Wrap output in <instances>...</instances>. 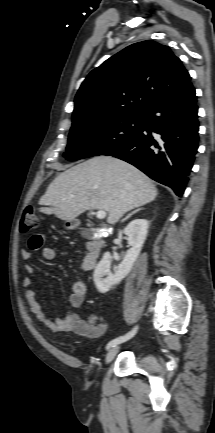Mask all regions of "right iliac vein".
Returning a JSON list of instances; mask_svg holds the SVG:
<instances>
[{
	"label": "right iliac vein",
	"instance_id": "obj_1",
	"mask_svg": "<svg viewBox=\"0 0 215 433\" xmlns=\"http://www.w3.org/2000/svg\"><path fill=\"white\" fill-rule=\"evenodd\" d=\"M119 349H120V346H114L108 351V353L106 354V359H105L106 363H110L115 358V356L119 352Z\"/></svg>",
	"mask_w": 215,
	"mask_h": 433
}]
</instances>
